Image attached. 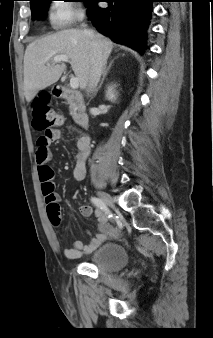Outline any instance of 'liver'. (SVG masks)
I'll use <instances>...</instances> for the list:
<instances>
[{"label": "liver", "instance_id": "liver-1", "mask_svg": "<svg viewBox=\"0 0 213 338\" xmlns=\"http://www.w3.org/2000/svg\"><path fill=\"white\" fill-rule=\"evenodd\" d=\"M94 34L103 54L108 57L114 43L98 33ZM57 55L68 56L80 88L87 87L91 71L90 39L82 30H63L33 41L27 46L24 55V95L27 102L61 77L65 70L64 64L47 65Z\"/></svg>", "mask_w": 213, "mask_h": 338}]
</instances>
